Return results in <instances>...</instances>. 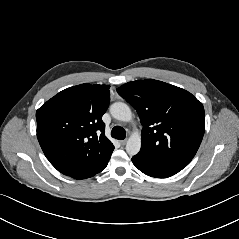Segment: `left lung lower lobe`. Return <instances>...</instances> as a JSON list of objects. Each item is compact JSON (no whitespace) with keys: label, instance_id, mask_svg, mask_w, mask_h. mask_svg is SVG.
<instances>
[{"label":"left lung lower lobe","instance_id":"left-lung-lower-lobe-1","mask_svg":"<svg viewBox=\"0 0 239 239\" xmlns=\"http://www.w3.org/2000/svg\"><path fill=\"white\" fill-rule=\"evenodd\" d=\"M132 162L141 172L156 178H167L180 171L156 161L143 158L138 154L132 158Z\"/></svg>","mask_w":239,"mask_h":239}]
</instances>
